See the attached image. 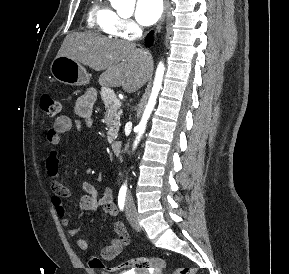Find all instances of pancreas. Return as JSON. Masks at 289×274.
Wrapping results in <instances>:
<instances>
[{"label": "pancreas", "mask_w": 289, "mask_h": 274, "mask_svg": "<svg viewBox=\"0 0 289 274\" xmlns=\"http://www.w3.org/2000/svg\"><path fill=\"white\" fill-rule=\"evenodd\" d=\"M101 98L107 111L113 112L111 123L109 125V130L107 132V140L109 143H112L117 138L118 131H119L120 113L118 112V110L120 109V105H117L115 103V101L117 100V97L114 91L109 88H103L101 90Z\"/></svg>", "instance_id": "pancreas-1"}]
</instances>
